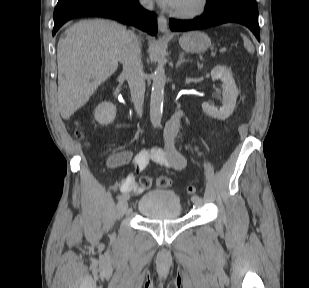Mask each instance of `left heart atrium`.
<instances>
[{
	"label": "left heart atrium",
	"mask_w": 309,
	"mask_h": 288,
	"mask_svg": "<svg viewBox=\"0 0 309 288\" xmlns=\"http://www.w3.org/2000/svg\"><path fill=\"white\" fill-rule=\"evenodd\" d=\"M164 6L174 8L178 0H158Z\"/></svg>",
	"instance_id": "obj_1"
}]
</instances>
